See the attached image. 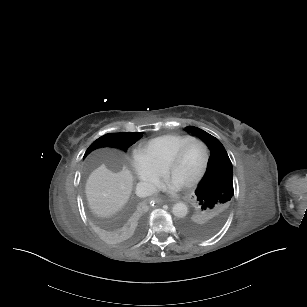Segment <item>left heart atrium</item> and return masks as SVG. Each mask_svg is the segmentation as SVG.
Here are the masks:
<instances>
[{
    "label": "left heart atrium",
    "instance_id": "39dd6f15",
    "mask_svg": "<svg viewBox=\"0 0 307 307\" xmlns=\"http://www.w3.org/2000/svg\"><path fill=\"white\" fill-rule=\"evenodd\" d=\"M183 187V185L167 178L164 182L157 183L153 186L154 189H160L165 191H178Z\"/></svg>",
    "mask_w": 307,
    "mask_h": 307
}]
</instances>
